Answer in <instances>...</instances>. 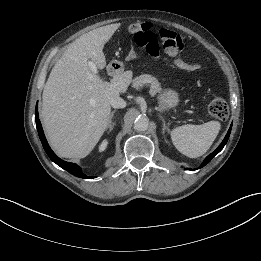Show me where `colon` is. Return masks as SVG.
I'll list each match as a JSON object with an SVG mask.
<instances>
[{
	"label": "colon",
	"instance_id": "5ec220e1",
	"mask_svg": "<svg viewBox=\"0 0 261 261\" xmlns=\"http://www.w3.org/2000/svg\"><path fill=\"white\" fill-rule=\"evenodd\" d=\"M128 31L133 34L135 44L145 49L151 57L159 55V42L156 35L151 31V26L147 23L130 24ZM159 36L165 51L171 56H177L182 50L183 43L181 38L172 31L162 29ZM177 65L185 70H196L201 67L200 63H188L180 58L176 59ZM208 112L211 116L224 120L229 115V107L226 100L222 97H214L208 104Z\"/></svg>",
	"mask_w": 261,
	"mask_h": 261
}]
</instances>
